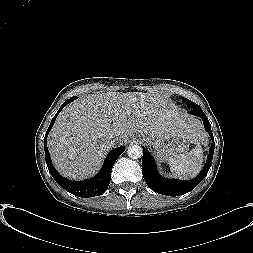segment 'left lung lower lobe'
<instances>
[{"instance_id":"0a47b994","label":"left lung lower lobe","mask_w":253,"mask_h":253,"mask_svg":"<svg viewBox=\"0 0 253 253\" xmlns=\"http://www.w3.org/2000/svg\"><path fill=\"white\" fill-rule=\"evenodd\" d=\"M189 107L191 108L189 111L190 114L196 115L203 120L204 127L212 139L207 162L200 174L192 180L181 181L177 179H165L158 173L154 158L150 152L145 147H143L142 173L144 180L152 190L159 194L167 196H179L188 193L204 179L210 169L215 148L210 123L199 105L194 104L190 105Z\"/></svg>"}]
</instances>
